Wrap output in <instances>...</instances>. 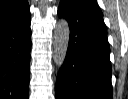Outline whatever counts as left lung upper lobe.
<instances>
[{"label":"left lung upper lobe","mask_w":128,"mask_h":99,"mask_svg":"<svg viewBox=\"0 0 128 99\" xmlns=\"http://www.w3.org/2000/svg\"><path fill=\"white\" fill-rule=\"evenodd\" d=\"M91 2H93V3H95V4H97V2H96V0H90ZM98 5V4H97Z\"/></svg>","instance_id":"5c2ea615"}]
</instances>
